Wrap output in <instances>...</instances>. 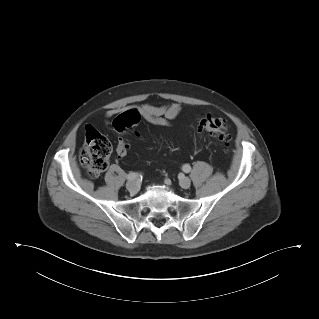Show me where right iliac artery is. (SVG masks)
Instances as JSON below:
<instances>
[{
    "instance_id": "right-iliac-artery-1",
    "label": "right iliac artery",
    "mask_w": 319,
    "mask_h": 319,
    "mask_svg": "<svg viewBox=\"0 0 319 319\" xmlns=\"http://www.w3.org/2000/svg\"><path fill=\"white\" fill-rule=\"evenodd\" d=\"M141 175H139L138 173L136 172H130L128 175H127V180L129 181H132V180H135L137 179L138 177H140Z\"/></svg>"
}]
</instances>
